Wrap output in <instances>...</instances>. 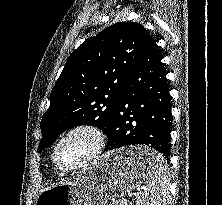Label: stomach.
I'll return each mask as SVG.
<instances>
[{
	"instance_id": "1",
	"label": "stomach",
	"mask_w": 222,
	"mask_h": 205,
	"mask_svg": "<svg viewBox=\"0 0 222 205\" xmlns=\"http://www.w3.org/2000/svg\"><path fill=\"white\" fill-rule=\"evenodd\" d=\"M156 151L132 146L95 159L69 181L42 190L36 205H105L113 197L139 188L149 168L145 159Z\"/></svg>"
}]
</instances>
